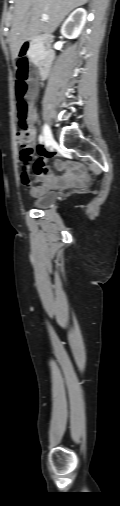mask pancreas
Masks as SVG:
<instances>
[{
	"mask_svg": "<svg viewBox=\"0 0 120 506\" xmlns=\"http://www.w3.org/2000/svg\"><path fill=\"white\" fill-rule=\"evenodd\" d=\"M41 53L42 52L36 46H34L31 48V50L29 52V56L32 61H37L40 58Z\"/></svg>",
	"mask_w": 120,
	"mask_h": 506,
	"instance_id": "pancreas-1",
	"label": "pancreas"
}]
</instances>
